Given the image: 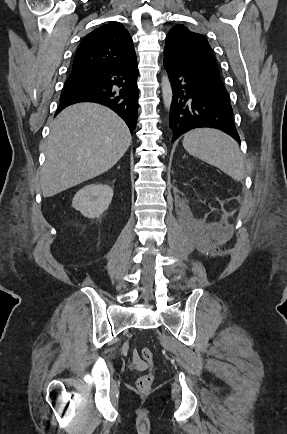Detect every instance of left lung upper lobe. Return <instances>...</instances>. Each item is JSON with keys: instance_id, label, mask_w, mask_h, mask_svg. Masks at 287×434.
Returning a JSON list of instances; mask_svg holds the SVG:
<instances>
[{"instance_id": "obj_1", "label": "left lung upper lobe", "mask_w": 287, "mask_h": 434, "mask_svg": "<svg viewBox=\"0 0 287 434\" xmlns=\"http://www.w3.org/2000/svg\"><path fill=\"white\" fill-rule=\"evenodd\" d=\"M164 57L190 63L219 75L216 60L206 38L191 32L183 25L174 26L167 34Z\"/></svg>"}]
</instances>
